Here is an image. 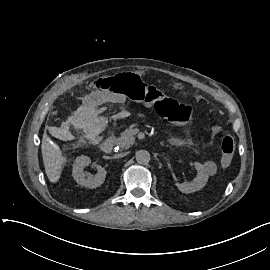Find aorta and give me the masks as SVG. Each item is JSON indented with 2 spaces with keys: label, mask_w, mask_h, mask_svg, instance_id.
<instances>
[{
  "label": "aorta",
  "mask_w": 270,
  "mask_h": 270,
  "mask_svg": "<svg viewBox=\"0 0 270 270\" xmlns=\"http://www.w3.org/2000/svg\"><path fill=\"white\" fill-rule=\"evenodd\" d=\"M136 161L140 165H146L150 162V154L146 150H140L136 153Z\"/></svg>",
  "instance_id": "762f6f07"
}]
</instances>
